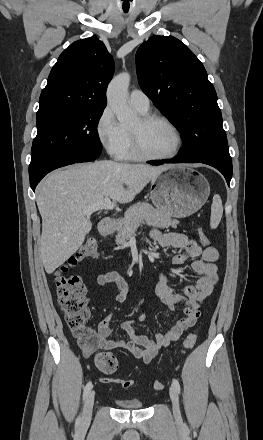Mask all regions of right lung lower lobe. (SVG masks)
I'll return each mask as SVG.
<instances>
[{"label":"right lung lower lobe","instance_id":"1","mask_svg":"<svg viewBox=\"0 0 263 440\" xmlns=\"http://www.w3.org/2000/svg\"><path fill=\"white\" fill-rule=\"evenodd\" d=\"M101 145L100 146H92L89 148H86L82 151L81 159L77 161H70L65 156H61L57 160L53 161L51 164H49L44 170L36 173L33 176H30V186L32 190L35 192V188L37 184L41 181V179L52 170H55L57 168L74 164V163H82V162H89L95 160L101 153Z\"/></svg>","mask_w":263,"mask_h":440}]
</instances>
